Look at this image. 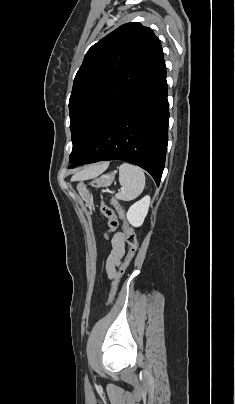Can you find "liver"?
Here are the masks:
<instances>
[{
  "instance_id": "6515ba94",
  "label": "liver",
  "mask_w": 235,
  "mask_h": 404,
  "mask_svg": "<svg viewBox=\"0 0 235 404\" xmlns=\"http://www.w3.org/2000/svg\"><path fill=\"white\" fill-rule=\"evenodd\" d=\"M107 166V163L101 165H93L85 167L83 170L77 172L72 179L73 180H83L88 178H93L99 175Z\"/></svg>"
}]
</instances>
